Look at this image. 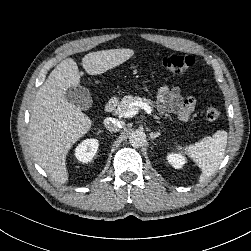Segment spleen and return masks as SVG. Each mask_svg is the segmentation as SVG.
I'll list each match as a JSON object with an SVG mask.
<instances>
[{
    "mask_svg": "<svg viewBox=\"0 0 251 251\" xmlns=\"http://www.w3.org/2000/svg\"><path fill=\"white\" fill-rule=\"evenodd\" d=\"M226 144L227 132L217 131L212 137H205L193 145L176 147L179 150L183 149L202 169L200 181L203 182L219 167L225 154Z\"/></svg>",
    "mask_w": 251,
    "mask_h": 251,
    "instance_id": "obj_1",
    "label": "spleen"
}]
</instances>
